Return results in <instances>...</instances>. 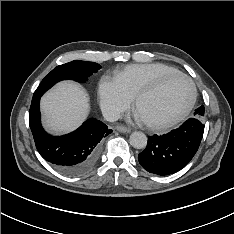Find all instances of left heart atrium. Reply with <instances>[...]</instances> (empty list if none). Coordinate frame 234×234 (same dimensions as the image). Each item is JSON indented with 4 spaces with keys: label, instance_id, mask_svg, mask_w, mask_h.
<instances>
[{
    "label": "left heart atrium",
    "instance_id": "left-heart-atrium-1",
    "mask_svg": "<svg viewBox=\"0 0 234 234\" xmlns=\"http://www.w3.org/2000/svg\"><path fill=\"white\" fill-rule=\"evenodd\" d=\"M137 117H138L139 119H142L141 116H140L139 114H137Z\"/></svg>",
    "mask_w": 234,
    "mask_h": 234
}]
</instances>
